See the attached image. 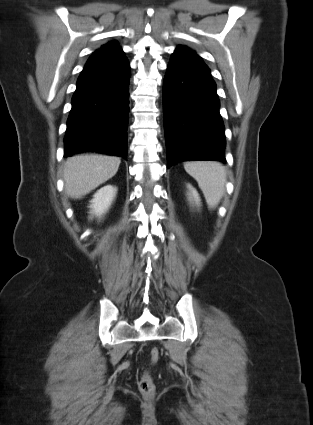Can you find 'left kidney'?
Wrapping results in <instances>:
<instances>
[{"mask_svg":"<svg viewBox=\"0 0 313 425\" xmlns=\"http://www.w3.org/2000/svg\"><path fill=\"white\" fill-rule=\"evenodd\" d=\"M187 188L189 190V193H188L189 200L193 201V203H195L197 206H199L200 205V197H199L198 192L190 184L187 185Z\"/></svg>","mask_w":313,"mask_h":425,"instance_id":"5707ae66","label":"left kidney"}]
</instances>
